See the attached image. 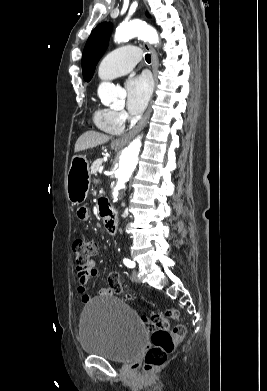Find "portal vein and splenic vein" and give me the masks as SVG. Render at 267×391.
<instances>
[{
	"instance_id": "18ae733b",
	"label": "portal vein and splenic vein",
	"mask_w": 267,
	"mask_h": 391,
	"mask_svg": "<svg viewBox=\"0 0 267 391\" xmlns=\"http://www.w3.org/2000/svg\"><path fill=\"white\" fill-rule=\"evenodd\" d=\"M102 171H103V167H100L99 168V173H102Z\"/></svg>"
}]
</instances>
